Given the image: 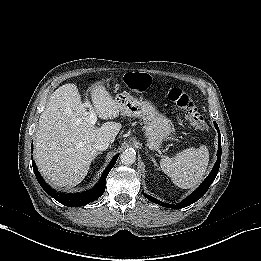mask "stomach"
I'll return each instance as SVG.
<instances>
[{"label":"stomach","instance_id":"0dacf381","mask_svg":"<svg viewBox=\"0 0 261 261\" xmlns=\"http://www.w3.org/2000/svg\"><path fill=\"white\" fill-rule=\"evenodd\" d=\"M115 101L122 115L141 118L147 146L151 150L161 147L162 141L172 132L170 120L147 100H140L131 95L121 93Z\"/></svg>","mask_w":261,"mask_h":261}]
</instances>
